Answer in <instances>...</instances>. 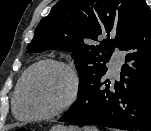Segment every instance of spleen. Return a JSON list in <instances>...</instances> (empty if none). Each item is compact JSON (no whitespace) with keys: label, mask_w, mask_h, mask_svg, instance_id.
Segmentation results:
<instances>
[{"label":"spleen","mask_w":151,"mask_h":131,"mask_svg":"<svg viewBox=\"0 0 151 131\" xmlns=\"http://www.w3.org/2000/svg\"><path fill=\"white\" fill-rule=\"evenodd\" d=\"M84 131H98V129L95 126H85L83 127Z\"/></svg>","instance_id":"obj_1"}]
</instances>
